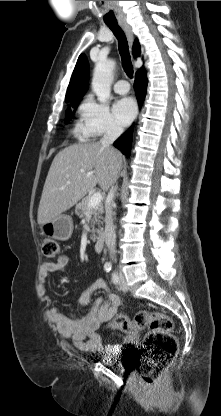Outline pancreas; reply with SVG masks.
Segmentation results:
<instances>
[{"instance_id": "pancreas-1", "label": "pancreas", "mask_w": 221, "mask_h": 416, "mask_svg": "<svg viewBox=\"0 0 221 416\" xmlns=\"http://www.w3.org/2000/svg\"><path fill=\"white\" fill-rule=\"evenodd\" d=\"M90 197H86L84 198L80 203H78L76 205L75 208V214L79 217V218H83L85 215H89L91 217V227H92V237L91 239H93L95 237V233H101L100 229H95L94 225L97 224L99 227L102 223V219H103V213H104V209H103V204L100 203L97 206L90 208L88 207V202H89Z\"/></svg>"}]
</instances>
